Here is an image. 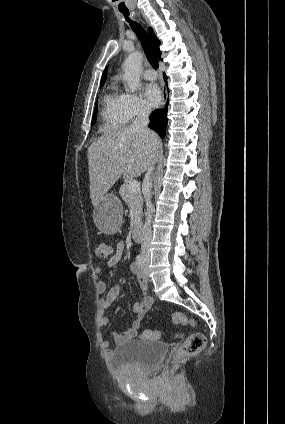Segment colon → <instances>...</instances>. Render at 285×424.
Masks as SVG:
<instances>
[{
  "instance_id": "5ec220e1",
  "label": "colon",
  "mask_w": 285,
  "mask_h": 424,
  "mask_svg": "<svg viewBox=\"0 0 285 424\" xmlns=\"http://www.w3.org/2000/svg\"><path fill=\"white\" fill-rule=\"evenodd\" d=\"M93 252L94 254L102 259L108 258L112 255V246L104 241H96L93 244ZM173 321L181 326H185L187 324H192L193 322L189 320L183 313L175 312L172 314ZM161 337L160 331L148 330L144 333V338L146 339H157ZM206 339L205 336L200 332L192 333L187 337L185 342L180 345L176 352L175 358H183L195 355L199 353L205 346Z\"/></svg>"
}]
</instances>
